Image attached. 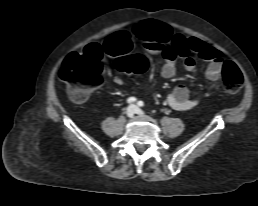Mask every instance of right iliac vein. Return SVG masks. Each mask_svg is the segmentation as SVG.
Here are the masks:
<instances>
[{"label":"right iliac vein","instance_id":"obj_1","mask_svg":"<svg viewBox=\"0 0 258 206\" xmlns=\"http://www.w3.org/2000/svg\"><path fill=\"white\" fill-rule=\"evenodd\" d=\"M134 114H135V107L133 105L129 106L127 109H126V115L127 117L129 118H133L134 117Z\"/></svg>","mask_w":258,"mask_h":206}]
</instances>
